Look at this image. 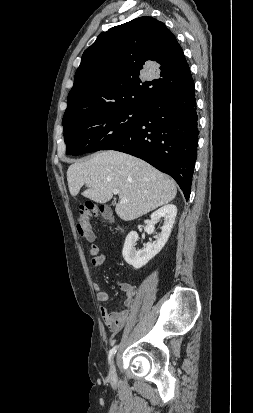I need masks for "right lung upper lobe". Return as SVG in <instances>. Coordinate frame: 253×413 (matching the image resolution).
I'll list each match as a JSON object with an SVG mask.
<instances>
[{
  "label": "right lung upper lobe",
  "mask_w": 253,
  "mask_h": 413,
  "mask_svg": "<svg viewBox=\"0 0 253 413\" xmlns=\"http://www.w3.org/2000/svg\"><path fill=\"white\" fill-rule=\"evenodd\" d=\"M155 62V78L146 80ZM192 80L174 34L148 16L101 33L82 56L67 98L62 125L116 108H142L183 89Z\"/></svg>",
  "instance_id": "right-lung-upper-lobe-1"
}]
</instances>
